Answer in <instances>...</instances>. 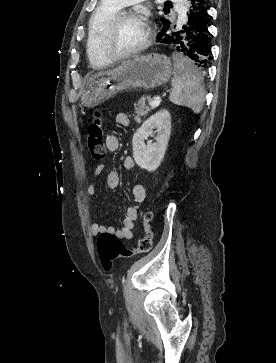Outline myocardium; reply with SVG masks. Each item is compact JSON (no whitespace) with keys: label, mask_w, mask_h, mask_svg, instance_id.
Listing matches in <instances>:
<instances>
[{"label":"myocardium","mask_w":276,"mask_h":363,"mask_svg":"<svg viewBox=\"0 0 276 363\" xmlns=\"http://www.w3.org/2000/svg\"><path fill=\"white\" fill-rule=\"evenodd\" d=\"M128 19H135L142 23L144 27V37L142 41L135 48L124 53L113 54L106 45V38L122 21ZM151 39H152V30L147 15L145 13L129 9V10L118 11L107 22V24L101 30L99 37V44H100V49L102 53L105 55V57L109 61L113 62V61L124 60L140 54L149 46Z\"/></svg>","instance_id":"obj_1"}]
</instances>
